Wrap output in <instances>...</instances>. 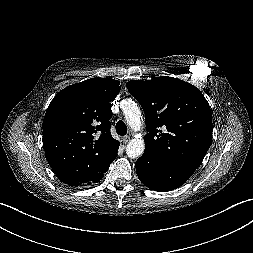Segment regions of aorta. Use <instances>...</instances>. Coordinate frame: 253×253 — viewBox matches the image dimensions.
<instances>
[{
    "mask_svg": "<svg viewBox=\"0 0 253 253\" xmlns=\"http://www.w3.org/2000/svg\"><path fill=\"white\" fill-rule=\"evenodd\" d=\"M123 113L127 124L133 131H138L141 127V112L134 101H127L123 106ZM145 149L144 140L140 135H135L126 146V154L129 158L140 157Z\"/></svg>",
    "mask_w": 253,
    "mask_h": 253,
    "instance_id": "1",
    "label": "aorta"
}]
</instances>
